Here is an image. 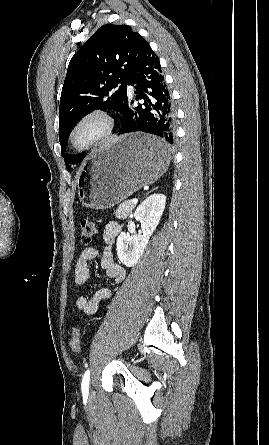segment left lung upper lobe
<instances>
[{"mask_svg":"<svg viewBox=\"0 0 269 445\" xmlns=\"http://www.w3.org/2000/svg\"><path fill=\"white\" fill-rule=\"evenodd\" d=\"M148 46V42L130 26L106 24L72 57L59 110V140L67 168L84 159L83 154L71 156L65 153L73 126L96 109L123 113L129 78Z\"/></svg>","mask_w":269,"mask_h":445,"instance_id":"1","label":"left lung upper lobe"}]
</instances>
